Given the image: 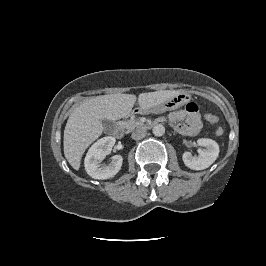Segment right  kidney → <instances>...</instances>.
Masks as SVG:
<instances>
[{"mask_svg":"<svg viewBox=\"0 0 266 266\" xmlns=\"http://www.w3.org/2000/svg\"><path fill=\"white\" fill-rule=\"evenodd\" d=\"M115 141L114 137L107 136L99 139L90 147L84 161L85 170L90 177L104 180L115 176L119 172L123 162L120 155L113 156L108 166L99 164L111 152Z\"/></svg>","mask_w":266,"mask_h":266,"instance_id":"right-kidney-1","label":"right kidney"}]
</instances>
